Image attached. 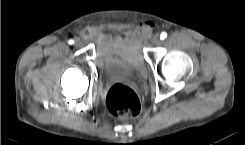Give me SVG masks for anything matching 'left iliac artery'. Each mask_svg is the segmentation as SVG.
<instances>
[{"mask_svg": "<svg viewBox=\"0 0 245 145\" xmlns=\"http://www.w3.org/2000/svg\"><path fill=\"white\" fill-rule=\"evenodd\" d=\"M166 37H167V33H166V32H162V33L160 34V39H161V40L165 39Z\"/></svg>", "mask_w": 245, "mask_h": 145, "instance_id": "obj_1", "label": "left iliac artery"}]
</instances>
